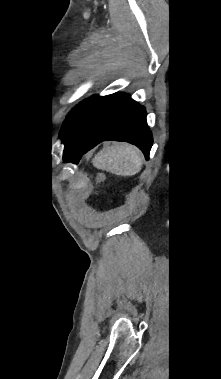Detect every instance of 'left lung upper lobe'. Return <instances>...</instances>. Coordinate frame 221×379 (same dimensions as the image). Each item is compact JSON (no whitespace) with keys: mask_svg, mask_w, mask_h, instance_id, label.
<instances>
[{"mask_svg":"<svg viewBox=\"0 0 221 379\" xmlns=\"http://www.w3.org/2000/svg\"><path fill=\"white\" fill-rule=\"evenodd\" d=\"M99 97L92 96L89 99L84 100L79 105H77L67 116L62 130L60 132V136L62 137V141L65 142L70 138L72 133L74 132L77 125L80 121L86 116V114L90 111V109L95 105L98 101Z\"/></svg>","mask_w":221,"mask_h":379,"instance_id":"1","label":"left lung upper lobe"}]
</instances>
